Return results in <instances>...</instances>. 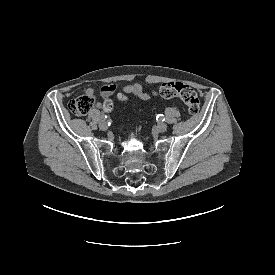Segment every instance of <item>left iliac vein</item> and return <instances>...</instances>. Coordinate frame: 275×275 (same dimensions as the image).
I'll return each instance as SVG.
<instances>
[{"mask_svg":"<svg viewBox=\"0 0 275 275\" xmlns=\"http://www.w3.org/2000/svg\"><path fill=\"white\" fill-rule=\"evenodd\" d=\"M156 128L159 132H164L167 130V124L164 122H160L157 124Z\"/></svg>","mask_w":275,"mask_h":275,"instance_id":"1","label":"left iliac vein"}]
</instances>
